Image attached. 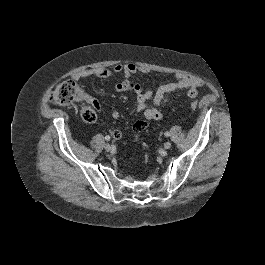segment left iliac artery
Wrapping results in <instances>:
<instances>
[{
    "label": "left iliac artery",
    "instance_id": "left-iliac-artery-1",
    "mask_svg": "<svg viewBox=\"0 0 265 265\" xmlns=\"http://www.w3.org/2000/svg\"><path fill=\"white\" fill-rule=\"evenodd\" d=\"M165 136L166 137L170 136V133L169 132H165Z\"/></svg>",
    "mask_w": 265,
    "mask_h": 265
}]
</instances>
